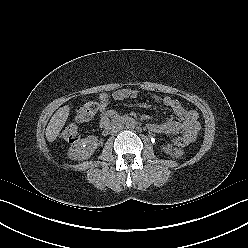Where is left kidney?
Here are the masks:
<instances>
[{
  "label": "left kidney",
  "mask_w": 248,
  "mask_h": 248,
  "mask_svg": "<svg viewBox=\"0 0 248 248\" xmlns=\"http://www.w3.org/2000/svg\"><path fill=\"white\" fill-rule=\"evenodd\" d=\"M163 150L170 155H173L175 157H179L183 155V151L181 149L178 148H172V145H167L163 147Z\"/></svg>",
  "instance_id": "1"
}]
</instances>
